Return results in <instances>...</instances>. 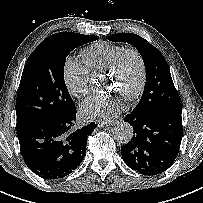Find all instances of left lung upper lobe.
Masks as SVG:
<instances>
[{"label": "left lung upper lobe", "mask_w": 203, "mask_h": 203, "mask_svg": "<svg viewBox=\"0 0 203 203\" xmlns=\"http://www.w3.org/2000/svg\"><path fill=\"white\" fill-rule=\"evenodd\" d=\"M107 39L133 45L143 58L146 83L134 112L150 116L165 112H182V102L175 89L169 66L157 48L144 38L132 33H118L107 36Z\"/></svg>", "instance_id": "5c2ea615"}]
</instances>
